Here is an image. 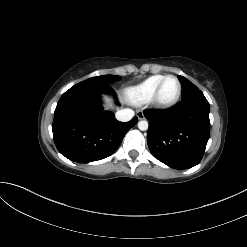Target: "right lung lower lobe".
Here are the masks:
<instances>
[{"label": "right lung lower lobe", "instance_id": "obj_1", "mask_svg": "<svg viewBox=\"0 0 247 247\" xmlns=\"http://www.w3.org/2000/svg\"><path fill=\"white\" fill-rule=\"evenodd\" d=\"M115 95L106 82H81L67 90L54 112L53 138L58 151L75 162H92L110 156L125 134L137 123V117L120 122L104 111L101 93Z\"/></svg>", "mask_w": 247, "mask_h": 247}]
</instances>
